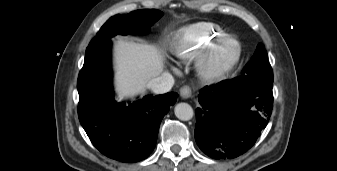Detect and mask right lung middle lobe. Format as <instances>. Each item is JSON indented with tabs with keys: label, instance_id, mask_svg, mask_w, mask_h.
Returning <instances> with one entry per match:
<instances>
[{
	"label": "right lung middle lobe",
	"instance_id": "obj_1",
	"mask_svg": "<svg viewBox=\"0 0 337 171\" xmlns=\"http://www.w3.org/2000/svg\"><path fill=\"white\" fill-rule=\"evenodd\" d=\"M163 13L156 9H141L125 15H115L101 27L100 31L89 43L86 51L99 40H110L111 37L121 34L147 33L150 27Z\"/></svg>",
	"mask_w": 337,
	"mask_h": 171
}]
</instances>
